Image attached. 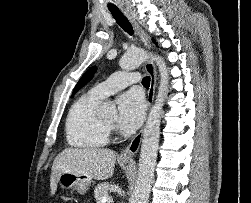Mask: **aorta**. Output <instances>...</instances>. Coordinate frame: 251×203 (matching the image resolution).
Returning a JSON list of instances; mask_svg holds the SVG:
<instances>
[{"mask_svg":"<svg viewBox=\"0 0 251 203\" xmlns=\"http://www.w3.org/2000/svg\"><path fill=\"white\" fill-rule=\"evenodd\" d=\"M146 57L147 54L144 50L133 49L121 58L119 64L122 69L131 70L140 66ZM152 58L156 61L160 72V85L144 128L138 176L130 203L148 202L159 146L161 113L168 92L169 75L166 64L159 56L155 55ZM113 113H115V107L110 104H103L100 108V114L102 115H111Z\"/></svg>","mask_w":251,"mask_h":203,"instance_id":"1","label":"aorta"}]
</instances>
